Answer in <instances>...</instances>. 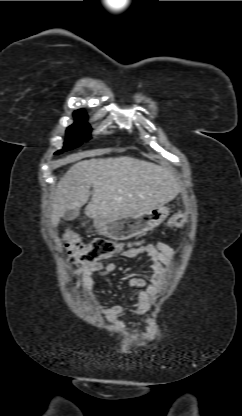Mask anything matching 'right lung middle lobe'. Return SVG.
Returning <instances> with one entry per match:
<instances>
[{"instance_id": "1", "label": "right lung middle lobe", "mask_w": 242, "mask_h": 416, "mask_svg": "<svg viewBox=\"0 0 242 416\" xmlns=\"http://www.w3.org/2000/svg\"><path fill=\"white\" fill-rule=\"evenodd\" d=\"M74 116L75 123L69 126L66 131L64 149L56 152V154L73 149L81 145L82 141H87L90 138L91 128L86 122V113L83 110H78L74 112Z\"/></svg>"}]
</instances>
